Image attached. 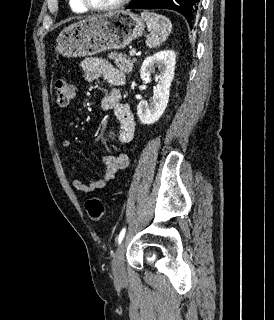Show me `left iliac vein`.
I'll use <instances>...</instances> for the list:
<instances>
[{
	"instance_id": "left-iliac-vein-1",
	"label": "left iliac vein",
	"mask_w": 274,
	"mask_h": 320,
	"mask_svg": "<svg viewBox=\"0 0 274 320\" xmlns=\"http://www.w3.org/2000/svg\"><path fill=\"white\" fill-rule=\"evenodd\" d=\"M124 254L125 244L124 242H121L116 250V253L114 254L112 263L114 276L117 281H122L125 278Z\"/></svg>"
}]
</instances>
